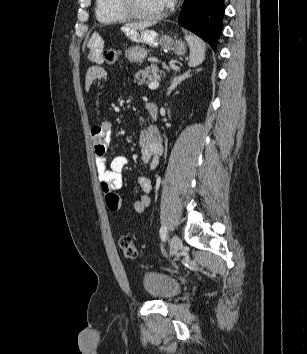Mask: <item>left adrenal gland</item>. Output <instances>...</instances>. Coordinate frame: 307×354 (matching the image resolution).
<instances>
[{
    "mask_svg": "<svg viewBox=\"0 0 307 354\" xmlns=\"http://www.w3.org/2000/svg\"><path fill=\"white\" fill-rule=\"evenodd\" d=\"M191 70L186 71L185 73L175 76L172 78L170 86L167 89V95H170L171 92L182 82L184 81L186 78L191 77L190 74Z\"/></svg>",
    "mask_w": 307,
    "mask_h": 354,
    "instance_id": "a2214340",
    "label": "left adrenal gland"
}]
</instances>
